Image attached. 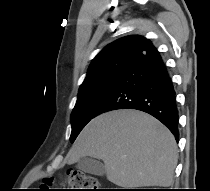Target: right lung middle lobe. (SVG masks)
Masks as SVG:
<instances>
[{"label":"right lung middle lobe","mask_w":210,"mask_h":191,"mask_svg":"<svg viewBox=\"0 0 210 191\" xmlns=\"http://www.w3.org/2000/svg\"><path fill=\"white\" fill-rule=\"evenodd\" d=\"M130 59L128 56L114 58L86 76L71 114V142H74L84 126L96 116L100 104L117 83Z\"/></svg>","instance_id":"1"}]
</instances>
